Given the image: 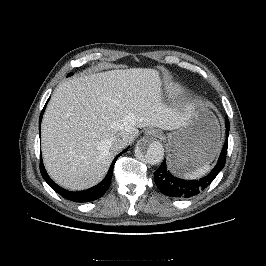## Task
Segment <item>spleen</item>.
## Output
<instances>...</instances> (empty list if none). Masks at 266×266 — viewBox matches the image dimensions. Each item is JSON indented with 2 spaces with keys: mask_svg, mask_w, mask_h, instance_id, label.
I'll use <instances>...</instances> for the list:
<instances>
[{
  "mask_svg": "<svg viewBox=\"0 0 266 266\" xmlns=\"http://www.w3.org/2000/svg\"><path fill=\"white\" fill-rule=\"evenodd\" d=\"M211 169V166L210 165H204L192 172H189V173H185L184 174V177L185 178H189V179H195V178H199L203 175H205L206 173H208Z\"/></svg>",
  "mask_w": 266,
  "mask_h": 266,
  "instance_id": "1",
  "label": "spleen"
}]
</instances>
